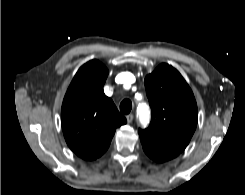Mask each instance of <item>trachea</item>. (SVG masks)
Segmentation results:
<instances>
[{
  "instance_id": "trachea-1",
  "label": "trachea",
  "mask_w": 245,
  "mask_h": 195,
  "mask_svg": "<svg viewBox=\"0 0 245 195\" xmlns=\"http://www.w3.org/2000/svg\"><path fill=\"white\" fill-rule=\"evenodd\" d=\"M132 109V102L129 99H125L120 104V111L123 114H129Z\"/></svg>"
}]
</instances>
